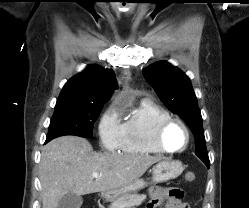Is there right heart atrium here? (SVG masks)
<instances>
[{"label": "right heart atrium", "instance_id": "d8ad5b80", "mask_svg": "<svg viewBox=\"0 0 249 208\" xmlns=\"http://www.w3.org/2000/svg\"><path fill=\"white\" fill-rule=\"evenodd\" d=\"M98 133L102 146L115 151L120 148L122 140V123L117 106H110L101 116Z\"/></svg>", "mask_w": 249, "mask_h": 208}]
</instances>
